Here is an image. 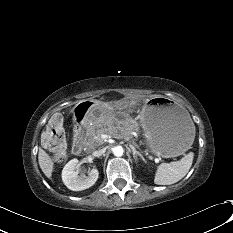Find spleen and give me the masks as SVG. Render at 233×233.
<instances>
[{
    "instance_id": "spleen-1",
    "label": "spleen",
    "mask_w": 233,
    "mask_h": 233,
    "mask_svg": "<svg viewBox=\"0 0 233 233\" xmlns=\"http://www.w3.org/2000/svg\"><path fill=\"white\" fill-rule=\"evenodd\" d=\"M194 154H186L180 161L162 163L158 166L154 183L157 185H171L181 180L191 168Z\"/></svg>"
}]
</instances>
